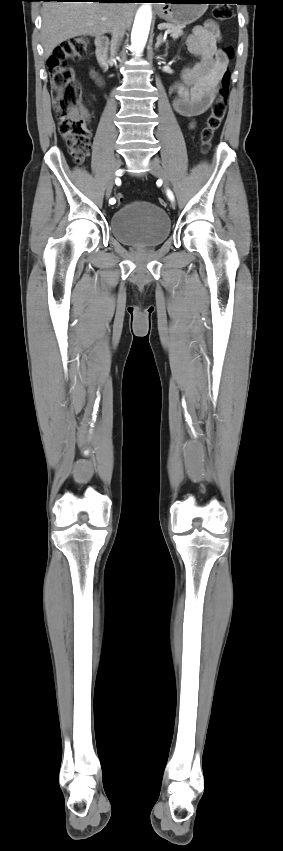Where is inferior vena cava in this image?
<instances>
[{"instance_id": "1", "label": "inferior vena cava", "mask_w": 283, "mask_h": 851, "mask_svg": "<svg viewBox=\"0 0 283 851\" xmlns=\"http://www.w3.org/2000/svg\"><path fill=\"white\" fill-rule=\"evenodd\" d=\"M112 39H111V56L114 57L117 53V50L121 44V41L125 34V27L123 24H116L112 31Z\"/></svg>"}]
</instances>
